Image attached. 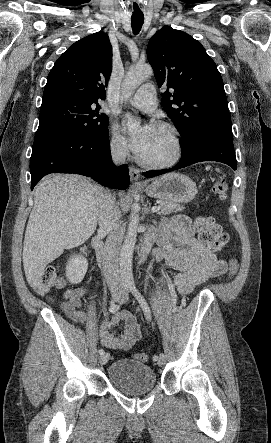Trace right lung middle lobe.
I'll return each mask as SVG.
<instances>
[{
	"label": "right lung middle lobe",
	"mask_w": 271,
	"mask_h": 443,
	"mask_svg": "<svg viewBox=\"0 0 271 443\" xmlns=\"http://www.w3.org/2000/svg\"><path fill=\"white\" fill-rule=\"evenodd\" d=\"M99 104L74 99H57L42 103L40 123L35 138L53 131L92 137L108 128V118Z\"/></svg>",
	"instance_id": "obj_1"
}]
</instances>
